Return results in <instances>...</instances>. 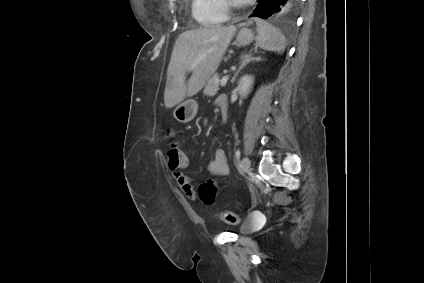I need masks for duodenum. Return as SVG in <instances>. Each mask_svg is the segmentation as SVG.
<instances>
[{"label": "duodenum", "instance_id": "410a0bca", "mask_svg": "<svg viewBox=\"0 0 424 283\" xmlns=\"http://www.w3.org/2000/svg\"><path fill=\"white\" fill-rule=\"evenodd\" d=\"M219 106H220L221 113H222V119L226 120L227 115H228V102H227V99L225 97H222L220 99Z\"/></svg>", "mask_w": 424, "mask_h": 283}]
</instances>
